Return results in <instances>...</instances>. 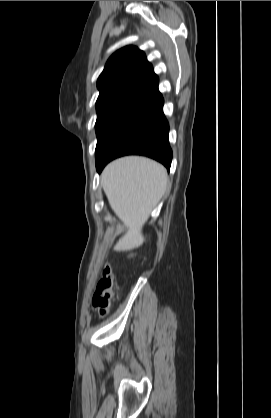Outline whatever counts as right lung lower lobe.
<instances>
[{
    "mask_svg": "<svg viewBox=\"0 0 271 418\" xmlns=\"http://www.w3.org/2000/svg\"><path fill=\"white\" fill-rule=\"evenodd\" d=\"M169 124L163 113V101L154 105L125 127L96 158L98 172L111 160L130 154L144 155L162 163L168 170L172 150L168 139Z\"/></svg>",
    "mask_w": 271,
    "mask_h": 418,
    "instance_id": "obj_1",
    "label": "right lung lower lobe"
}]
</instances>
